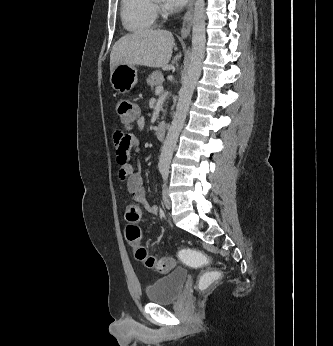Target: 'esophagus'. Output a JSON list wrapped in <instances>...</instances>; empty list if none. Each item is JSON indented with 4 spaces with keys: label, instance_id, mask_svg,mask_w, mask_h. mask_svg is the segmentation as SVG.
Segmentation results:
<instances>
[{
    "label": "esophagus",
    "instance_id": "1",
    "mask_svg": "<svg viewBox=\"0 0 333 346\" xmlns=\"http://www.w3.org/2000/svg\"><path fill=\"white\" fill-rule=\"evenodd\" d=\"M193 4H194V0H190L188 9L183 17V23H182V28L180 32L181 39H186L190 34V30L192 26Z\"/></svg>",
    "mask_w": 333,
    "mask_h": 346
}]
</instances>
